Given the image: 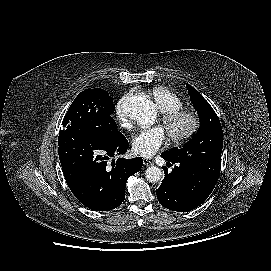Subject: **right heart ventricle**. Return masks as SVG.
Returning a JSON list of instances; mask_svg holds the SVG:
<instances>
[{"label": "right heart ventricle", "mask_w": 271, "mask_h": 271, "mask_svg": "<svg viewBox=\"0 0 271 271\" xmlns=\"http://www.w3.org/2000/svg\"><path fill=\"white\" fill-rule=\"evenodd\" d=\"M152 97L161 112H167L182 108L181 99L172 91L157 87L152 90Z\"/></svg>", "instance_id": "e07e8e85"}]
</instances>
